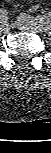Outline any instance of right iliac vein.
Returning a JSON list of instances; mask_svg holds the SVG:
<instances>
[{
  "label": "right iliac vein",
  "instance_id": "right-iliac-vein-1",
  "mask_svg": "<svg viewBox=\"0 0 51 153\" xmlns=\"http://www.w3.org/2000/svg\"><path fill=\"white\" fill-rule=\"evenodd\" d=\"M11 29L10 25L7 22H2L0 25V30L4 33L9 32Z\"/></svg>",
  "mask_w": 51,
  "mask_h": 153
}]
</instances>
